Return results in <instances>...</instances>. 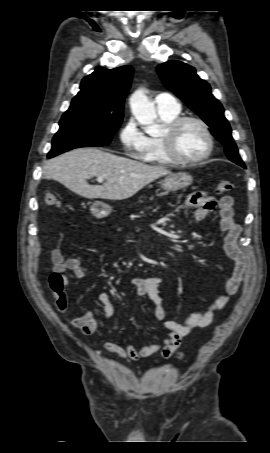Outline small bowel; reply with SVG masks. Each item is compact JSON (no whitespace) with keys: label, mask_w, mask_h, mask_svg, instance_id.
Masks as SVG:
<instances>
[{"label":"small bowel","mask_w":270,"mask_h":453,"mask_svg":"<svg viewBox=\"0 0 270 453\" xmlns=\"http://www.w3.org/2000/svg\"><path fill=\"white\" fill-rule=\"evenodd\" d=\"M218 206L219 209V227L226 233L224 239V249L228 257L234 262V268L231 277L226 283V291L220 295L212 304L202 310L193 312L184 321L166 320L164 327L169 331L163 341L136 347L131 344H120L114 341H107L102 348L106 352L115 353L121 359L137 361L141 358L150 357L159 353L162 359H168L180 346L182 339L191 333L194 329L209 325L216 311L224 308L231 298L237 293L243 282L248 259L245 252L239 246V237L241 235V226L234 221L233 198L231 196H222L217 202L211 198H205L203 194L196 193L190 195L186 200V206L195 209V219L202 221L206 215ZM51 257L54 265V273L61 276L64 285L70 282L68 271H72L78 278L87 275V269L78 256L68 259L64 258L62 249L56 247L51 251ZM164 282L162 277H134L131 279L133 286L137 288V294L140 298L149 299L153 305V314L157 320H163L166 312L162 299L159 295L158 288ZM98 299L103 307V315L98 318L92 312L75 317L70 320L71 326L81 331L84 335L94 334L99 326L110 321L115 313L114 305L111 302L107 292H101Z\"/></svg>","instance_id":"obj_1"}]
</instances>
